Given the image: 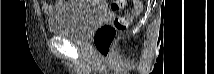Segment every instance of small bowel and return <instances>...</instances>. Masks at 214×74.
Wrapping results in <instances>:
<instances>
[{
	"label": "small bowel",
	"instance_id": "1",
	"mask_svg": "<svg viewBox=\"0 0 214 74\" xmlns=\"http://www.w3.org/2000/svg\"><path fill=\"white\" fill-rule=\"evenodd\" d=\"M71 5L70 1H57L55 5H51L49 2H41V8L47 15H53L57 10L68 7Z\"/></svg>",
	"mask_w": 214,
	"mask_h": 74
}]
</instances>
